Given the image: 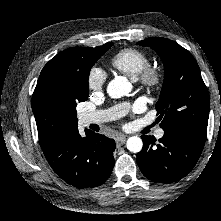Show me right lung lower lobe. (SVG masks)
<instances>
[{"label": "right lung lower lobe", "instance_id": "1", "mask_svg": "<svg viewBox=\"0 0 221 221\" xmlns=\"http://www.w3.org/2000/svg\"><path fill=\"white\" fill-rule=\"evenodd\" d=\"M85 132L82 138L78 128L70 129L43 149L52 169L66 183L81 189L100 186L110 177L116 147L113 139Z\"/></svg>", "mask_w": 221, "mask_h": 221}]
</instances>
